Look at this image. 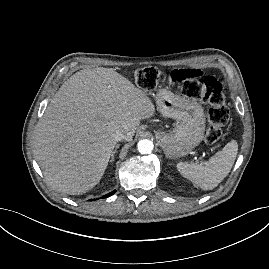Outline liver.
I'll use <instances>...</instances> for the list:
<instances>
[{
  "label": "liver",
  "instance_id": "6515ba94",
  "mask_svg": "<svg viewBox=\"0 0 269 269\" xmlns=\"http://www.w3.org/2000/svg\"><path fill=\"white\" fill-rule=\"evenodd\" d=\"M152 101L111 68L83 69L62 84L40 119L35 153L57 192L79 195L101 180L123 129L131 140Z\"/></svg>",
  "mask_w": 269,
  "mask_h": 269
}]
</instances>
